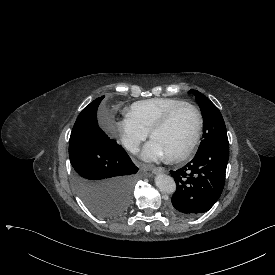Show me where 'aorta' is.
Here are the masks:
<instances>
[{
  "label": "aorta",
  "mask_w": 275,
  "mask_h": 275,
  "mask_svg": "<svg viewBox=\"0 0 275 275\" xmlns=\"http://www.w3.org/2000/svg\"><path fill=\"white\" fill-rule=\"evenodd\" d=\"M156 187L163 193H172L175 191L176 185L174 179L163 173H158L154 177Z\"/></svg>",
  "instance_id": "obj_1"
}]
</instances>
